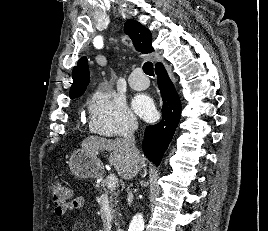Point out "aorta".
I'll return each mask as SVG.
<instances>
[{"label": "aorta", "instance_id": "1", "mask_svg": "<svg viewBox=\"0 0 268 231\" xmlns=\"http://www.w3.org/2000/svg\"><path fill=\"white\" fill-rule=\"evenodd\" d=\"M144 230V219L141 213H137L133 216L129 231H143Z\"/></svg>", "mask_w": 268, "mask_h": 231}]
</instances>
